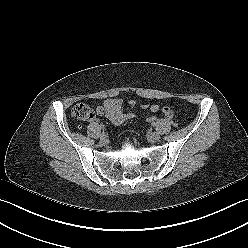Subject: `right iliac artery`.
<instances>
[{
	"label": "right iliac artery",
	"instance_id": "1",
	"mask_svg": "<svg viewBox=\"0 0 248 248\" xmlns=\"http://www.w3.org/2000/svg\"><path fill=\"white\" fill-rule=\"evenodd\" d=\"M101 129L104 131V129H105L104 125H101ZM103 133H104V132H103Z\"/></svg>",
	"mask_w": 248,
	"mask_h": 248
}]
</instances>
